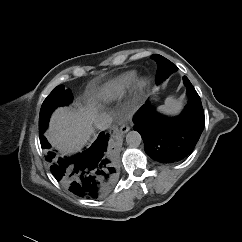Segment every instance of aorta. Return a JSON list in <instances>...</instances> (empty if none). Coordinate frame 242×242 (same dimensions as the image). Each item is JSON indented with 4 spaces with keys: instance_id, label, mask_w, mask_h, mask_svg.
Returning <instances> with one entry per match:
<instances>
[{
    "instance_id": "1",
    "label": "aorta",
    "mask_w": 242,
    "mask_h": 242,
    "mask_svg": "<svg viewBox=\"0 0 242 242\" xmlns=\"http://www.w3.org/2000/svg\"><path fill=\"white\" fill-rule=\"evenodd\" d=\"M126 142L130 147H138L142 142V137L137 131H130L126 135Z\"/></svg>"
}]
</instances>
